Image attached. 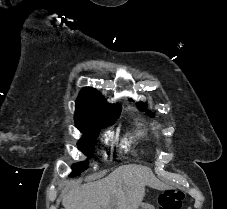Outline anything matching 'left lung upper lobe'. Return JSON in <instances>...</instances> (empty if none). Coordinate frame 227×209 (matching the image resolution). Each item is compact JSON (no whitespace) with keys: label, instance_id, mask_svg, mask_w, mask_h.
I'll use <instances>...</instances> for the list:
<instances>
[{"label":"left lung upper lobe","instance_id":"5c2ea615","mask_svg":"<svg viewBox=\"0 0 227 209\" xmlns=\"http://www.w3.org/2000/svg\"><path fill=\"white\" fill-rule=\"evenodd\" d=\"M137 107H138L139 110L144 111L145 108H146V104H144V103H137ZM148 114H149L150 116H153V114H151V113H149V112H148Z\"/></svg>","mask_w":227,"mask_h":209}]
</instances>
